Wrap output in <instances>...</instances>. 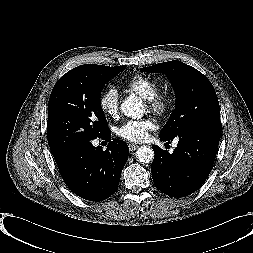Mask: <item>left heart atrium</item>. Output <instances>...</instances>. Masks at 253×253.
Wrapping results in <instances>:
<instances>
[{
	"mask_svg": "<svg viewBox=\"0 0 253 253\" xmlns=\"http://www.w3.org/2000/svg\"><path fill=\"white\" fill-rule=\"evenodd\" d=\"M154 128L155 123L150 118L128 120L117 129V134L119 137L131 142H142L148 138L149 131Z\"/></svg>",
	"mask_w": 253,
	"mask_h": 253,
	"instance_id": "39dd6f15",
	"label": "left heart atrium"
}]
</instances>
